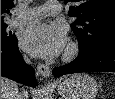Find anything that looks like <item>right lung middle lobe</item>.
Returning <instances> with one entry per match:
<instances>
[{
	"mask_svg": "<svg viewBox=\"0 0 115 99\" xmlns=\"http://www.w3.org/2000/svg\"><path fill=\"white\" fill-rule=\"evenodd\" d=\"M7 25L4 22H1V43L10 41L14 35L7 34L6 32Z\"/></svg>",
	"mask_w": 115,
	"mask_h": 99,
	"instance_id": "dd1d6c3e",
	"label": "right lung middle lobe"
}]
</instances>
